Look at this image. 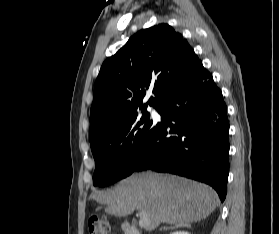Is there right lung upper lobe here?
<instances>
[{"mask_svg":"<svg viewBox=\"0 0 279 234\" xmlns=\"http://www.w3.org/2000/svg\"><path fill=\"white\" fill-rule=\"evenodd\" d=\"M200 63L189 43L167 24L137 32L102 64L90 110V144L148 104L158 108ZM149 88L154 96L143 104Z\"/></svg>","mask_w":279,"mask_h":234,"instance_id":"1","label":"right lung upper lobe"}]
</instances>
